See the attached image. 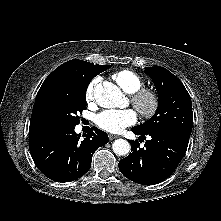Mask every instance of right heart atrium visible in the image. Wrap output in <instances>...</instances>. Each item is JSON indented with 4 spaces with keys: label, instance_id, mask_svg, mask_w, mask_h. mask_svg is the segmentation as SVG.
Listing matches in <instances>:
<instances>
[{
    "label": "right heart atrium",
    "instance_id": "right-heart-atrium-1",
    "mask_svg": "<svg viewBox=\"0 0 221 221\" xmlns=\"http://www.w3.org/2000/svg\"><path fill=\"white\" fill-rule=\"evenodd\" d=\"M99 83V79L98 78H94L93 80L90 81V83L88 84L86 91H85V98L87 102H92L95 99V91H96V87Z\"/></svg>",
    "mask_w": 221,
    "mask_h": 221
}]
</instances>
